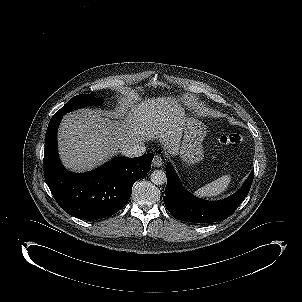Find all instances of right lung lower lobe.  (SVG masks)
Listing matches in <instances>:
<instances>
[{"label": "right lung lower lobe", "mask_w": 302, "mask_h": 302, "mask_svg": "<svg viewBox=\"0 0 302 302\" xmlns=\"http://www.w3.org/2000/svg\"><path fill=\"white\" fill-rule=\"evenodd\" d=\"M62 115L53 116L45 135L44 176L60 207L88 221L110 217L123 208L133 184L151 169L152 153L137 158H114L84 174L67 171L57 152V130Z\"/></svg>", "instance_id": "right-lung-lower-lobe-1"}]
</instances>
